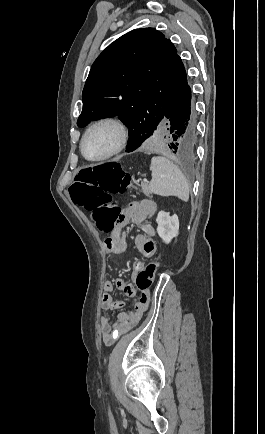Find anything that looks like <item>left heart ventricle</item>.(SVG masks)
<instances>
[{
  "instance_id": "b2bd125f",
  "label": "left heart ventricle",
  "mask_w": 265,
  "mask_h": 434,
  "mask_svg": "<svg viewBox=\"0 0 265 434\" xmlns=\"http://www.w3.org/2000/svg\"><path fill=\"white\" fill-rule=\"evenodd\" d=\"M117 134L113 127L103 126L91 132L86 138L83 151L89 158L106 155L116 144Z\"/></svg>"
}]
</instances>
